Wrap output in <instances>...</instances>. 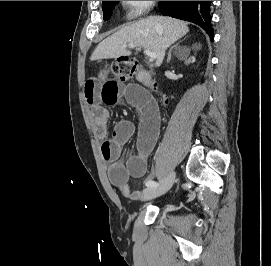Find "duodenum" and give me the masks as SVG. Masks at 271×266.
<instances>
[{
  "instance_id": "obj_1",
  "label": "duodenum",
  "mask_w": 271,
  "mask_h": 266,
  "mask_svg": "<svg viewBox=\"0 0 271 266\" xmlns=\"http://www.w3.org/2000/svg\"><path fill=\"white\" fill-rule=\"evenodd\" d=\"M138 78L141 82L148 83V75L146 73H141Z\"/></svg>"
}]
</instances>
